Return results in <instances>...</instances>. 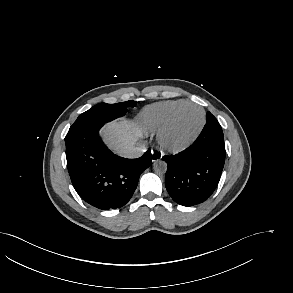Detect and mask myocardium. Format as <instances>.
Instances as JSON below:
<instances>
[{
	"mask_svg": "<svg viewBox=\"0 0 293 293\" xmlns=\"http://www.w3.org/2000/svg\"><path fill=\"white\" fill-rule=\"evenodd\" d=\"M189 106L196 107L201 111V113H202L201 124H200L198 130L196 131V133L187 142H185L184 144H181V145H177V146L171 145L167 141L168 133H169L177 115L179 114V112L182 109H184L185 107H189ZM205 124H206V112L202 106H200L194 102H185V103L179 105L171 112L166 123L163 125V127L159 130V132L157 134L156 140H157V144H158L159 149L164 152L171 153V154H178V153H181V152L187 150L199 138V136L201 135V133L205 127Z\"/></svg>",
	"mask_w": 293,
	"mask_h": 293,
	"instance_id": "1",
	"label": "myocardium"
}]
</instances>
